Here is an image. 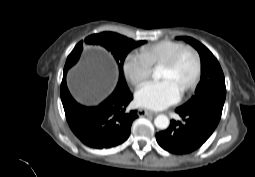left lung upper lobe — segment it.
Instances as JSON below:
<instances>
[{
    "label": "left lung upper lobe",
    "instance_id": "5c2ea615",
    "mask_svg": "<svg viewBox=\"0 0 255 177\" xmlns=\"http://www.w3.org/2000/svg\"><path fill=\"white\" fill-rule=\"evenodd\" d=\"M192 45L201 58V78L195 95L178 107L185 111H206L221 117L226 97L224 74L215 56L200 42L191 37H177Z\"/></svg>",
    "mask_w": 255,
    "mask_h": 177
}]
</instances>
